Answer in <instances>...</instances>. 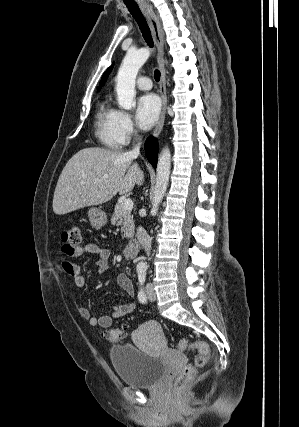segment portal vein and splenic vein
Here are the masks:
<instances>
[{
	"instance_id": "obj_1",
	"label": "portal vein and splenic vein",
	"mask_w": 299,
	"mask_h": 427,
	"mask_svg": "<svg viewBox=\"0 0 299 427\" xmlns=\"http://www.w3.org/2000/svg\"><path fill=\"white\" fill-rule=\"evenodd\" d=\"M122 208L124 210H131L133 208V202L130 199H127L122 202Z\"/></svg>"
}]
</instances>
